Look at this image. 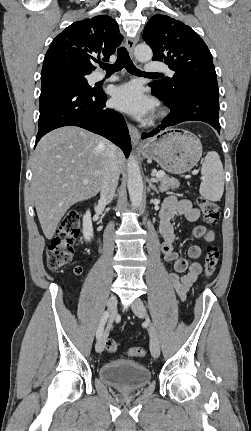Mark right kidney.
I'll return each mask as SVG.
<instances>
[{
    "instance_id": "1",
    "label": "right kidney",
    "mask_w": 251,
    "mask_h": 431,
    "mask_svg": "<svg viewBox=\"0 0 251 431\" xmlns=\"http://www.w3.org/2000/svg\"><path fill=\"white\" fill-rule=\"evenodd\" d=\"M83 236L87 242L91 241L94 236L90 211H87L83 216Z\"/></svg>"
}]
</instances>
